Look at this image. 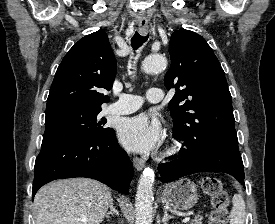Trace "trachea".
Instances as JSON below:
<instances>
[{
    "label": "trachea",
    "instance_id": "trachea-1",
    "mask_svg": "<svg viewBox=\"0 0 275 224\" xmlns=\"http://www.w3.org/2000/svg\"><path fill=\"white\" fill-rule=\"evenodd\" d=\"M148 39L147 36L140 35L137 31L135 32L134 36L131 39V45L134 50L138 49L140 46L143 45Z\"/></svg>",
    "mask_w": 275,
    "mask_h": 224
}]
</instances>
